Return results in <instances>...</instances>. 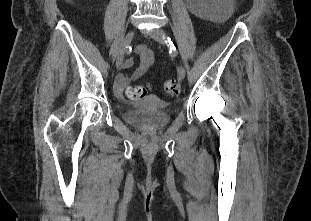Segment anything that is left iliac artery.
<instances>
[{
  "label": "left iliac artery",
  "instance_id": "left-iliac-artery-1",
  "mask_svg": "<svg viewBox=\"0 0 311 221\" xmlns=\"http://www.w3.org/2000/svg\"><path fill=\"white\" fill-rule=\"evenodd\" d=\"M165 43L167 44V46L169 48L170 54L171 55H177V53H178L177 49H176L174 43L172 42V40L169 37L165 38Z\"/></svg>",
  "mask_w": 311,
  "mask_h": 221
}]
</instances>
